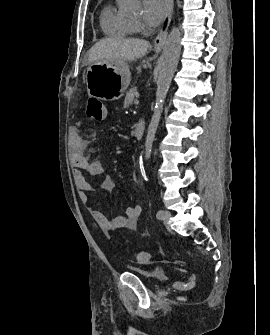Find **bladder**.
I'll use <instances>...</instances> for the list:
<instances>
[{"mask_svg":"<svg viewBox=\"0 0 270 335\" xmlns=\"http://www.w3.org/2000/svg\"><path fill=\"white\" fill-rule=\"evenodd\" d=\"M131 272L134 273L135 275H137L139 278L148 280L153 285L158 284L160 279L165 278V270H163V269H156L155 268L154 271H152V272H143L141 270L132 269Z\"/></svg>","mask_w":270,"mask_h":335,"instance_id":"obj_1","label":"bladder"}]
</instances>
